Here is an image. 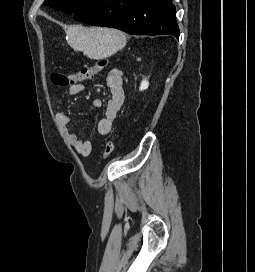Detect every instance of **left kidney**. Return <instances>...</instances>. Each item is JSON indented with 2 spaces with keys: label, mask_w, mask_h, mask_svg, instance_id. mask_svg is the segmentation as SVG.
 Instances as JSON below:
<instances>
[{
  "label": "left kidney",
  "mask_w": 255,
  "mask_h": 272,
  "mask_svg": "<svg viewBox=\"0 0 255 272\" xmlns=\"http://www.w3.org/2000/svg\"><path fill=\"white\" fill-rule=\"evenodd\" d=\"M149 86V82L148 80L145 78L142 80L141 82V85H140V90L143 91V90H146Z\"/></svg>",
  "instance_id": "obj_1"
}]
</instances>
